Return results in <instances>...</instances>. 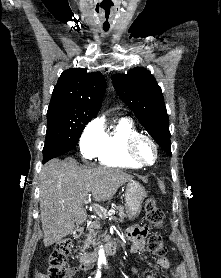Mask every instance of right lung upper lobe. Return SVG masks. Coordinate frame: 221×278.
Instances as JSON below:
<instances>
[{
    "mask_svg": "<svg viewBox=\"0 0 221 278\" xmlns=\"http://www.w3.org/2000/svg\"><path fill=\"white\" fill-rule=\"evenodd\" d=\"M105 89L106 81L99 72L65 70L53 90L47 115L91 120L100 110Z\"/></svg>",
    "mask_w": 221,
    "mask_h": 278,
    "instance_id": "cb5924a9",
    "label": "right lung upper lobe"
}]
</instances>
